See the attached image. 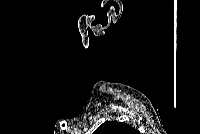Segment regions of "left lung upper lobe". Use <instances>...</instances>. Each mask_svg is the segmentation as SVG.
Returning a JSON list of instances; mask_svg holds the SVG:
<instances>
[{
	"mask_svg": "<svg viewBox=\"0 0 200 134\" xmlns=\"http://www.w3.org/2000/svg\"><path fill=\"white\" fill-rule=\"evenodd\" d=\"M93 134H139V132L126 123L106 121Z\"/></svg>",
	"mask_w": 200,
	"mask_h": 134,
	"instance_id": "left-lung-upper-lobe-1",
	"label": "left lung upper lobe"
}]
</instances>
